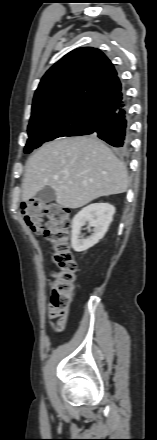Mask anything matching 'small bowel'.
Returning a JSON list of instances; mask_svg holds the SVG:
<instances>
[{
	"mask_svg": "<svg viewBox=\"0 0 157 440\" xmlns=\"http://www.w3.org/2000/svg\"><path fill=\"white\" fill-rule=\"evenodd\" d=\"M55 317H56V316L51 312V310L48 309V312H47V324H48V326H49L51 329L56 330V331H62V330H64V328H65V326H66V323H67V317H60V318L58 319V321H57L56 327H54L53 324H52V322H51V320H52L53 318H55Z\"/></svg>",
	"mask_w": 157,
	"mask_h": 440,
	"instance_id": "small-bowel-1",
	"label": "small bowel"
}]
</instances>
